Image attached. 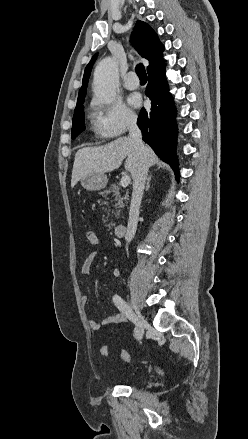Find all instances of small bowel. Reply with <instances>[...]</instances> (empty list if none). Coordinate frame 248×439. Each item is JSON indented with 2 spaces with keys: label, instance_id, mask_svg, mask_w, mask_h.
<instances>
[{
  "label": "small bowel",
  "instance_id": "obj_1",
  "mask_svg": "<svg viewBox=\"0 0 248 439\" xmlns=\"http://www.w3.org/2000/svg\"><path fill=\"white\" fill-rule=\"evenodd\" d=\"M98 255H99L98 251H93L87 255V257L85 258L83 265H82L81 271H82L83 275H88L90 273L92 265H93L94 261L96 260V258L98 257ZM114 275L116 277H118L120 275L119 270H115ZM82 301L85 303L87 301V296H82ZM125 321H126V316L122 312L121 313L117 312V313H114L112 315H109L108 317L103 319L101 322L96 321V320H90L89 324L93 330H99L104 325L119 324V323H123Z\"/></svg>",
  "mask_w": 248,
  "mask_h": 439
}]
</instances>
